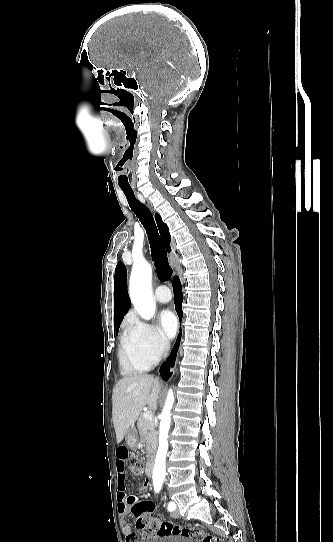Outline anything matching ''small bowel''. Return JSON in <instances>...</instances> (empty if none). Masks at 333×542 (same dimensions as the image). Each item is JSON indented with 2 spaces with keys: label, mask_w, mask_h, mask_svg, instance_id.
<instances>
[{
  "label": "small bowel",
  "mask_w": 333,
  "mask_h": 542,
  "mask_svg": "<svg viewBox=\"0 0 333 542\" xmlns=\"http://www.w3.org/2000/svg\"><path fill=\"white\" fill-rule=\"evenodd\" d=\"M128 458V449L125 445L121 444L117 448V510L122 522V532L126 537V541L129 542V538L135 533L134 529L125 523V518L131 510V506L128 504L130 496L127 489V478L125 474V464ZM143 487L146 488L149 485V477H142ZM144 488H139V493H144Z\"/></svg>",
  "instance_id": "1"
}]
</instances>
